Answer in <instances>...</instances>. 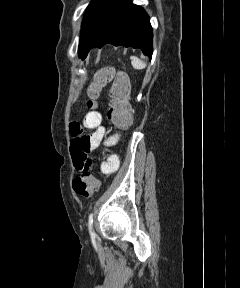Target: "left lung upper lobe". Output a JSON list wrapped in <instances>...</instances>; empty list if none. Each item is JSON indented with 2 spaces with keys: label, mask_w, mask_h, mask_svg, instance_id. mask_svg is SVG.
I'll return each instance as SVG.
<instances>
[{
  "label": "left lung upper lobe",
  "mask_w": 240,
  "mask_h": 288,
  "mask_svg": "<svg viewBox=\"0 0 240 288\" xmlns=\"http://www.w3.org/2000/svg\"><path fill=\"white\" fill-rule=\"evenodd\" d=\"M110 0H92L87 7L81 25V37L78 51L84 46L100 19L104 15Z\"/></svg>",
  "instance_id": "5c2ea615"
}]
</instances>
